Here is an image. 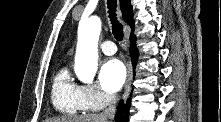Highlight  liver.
<instances>
[{"instance_id": "obj_1", "label": "liver", "mask_w": 221, "mask_h": 122, "mask_svg": "<svg viewBox=\"0 0 221 122\" xmlns=\"http://www.w3.org/2000/svg\"><path fill=\"white\" fill-rule=\"evenodd\" d=\"M44 122H107V119L99 114H88L81 117L48 118Z\"/></svg>"}]
</instances>
